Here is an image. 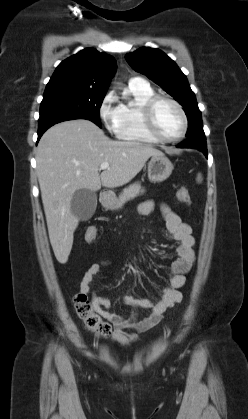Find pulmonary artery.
Wrapping results in <instances>:
<instances>
[{"label": "pulmonary artery", "mask_w": 248, "mask_h": 419, "mask_svg": "<svg viewBox=\"0 0 248 419\" xmlns=\"http://www.w3.org/2000/svg\"><path fill=\"white\" fill-rule=\"evenodd\" d=\"M128 84L129 85H132V86H144V85H147L146 81L144 79L140 78V77H132L129 80Z\"/></svg>", "instance_id": "e3ab8cb5"}]
</instances>
